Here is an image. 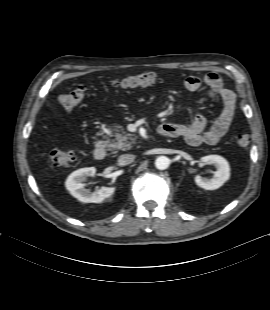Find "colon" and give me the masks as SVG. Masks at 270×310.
<instances>
[{"label": "colon", "instance_id": "1", "mask_svg": "<svg viewBox=\"0 0 270 310\" xmlns=\"http://www.w3.org/2000/svg\"><path fill=\"white\" fill-rule=\"evenodd\" d=\"M157 81V76L152 72L141 73L135 76L125 77L112 82L113 86L122 89H134L154 84ZM86 90L79 87L74 91L63 93L58 97L60 105L65 109H72L79 106L85 99ZM237 146L241 149H247L251 143V138L248 134H239L235 138ZM76 153L71 148H57L51 151L50 159L56 166H64L75 160Z\"/></svg>", "mask_w": 270, "mask_h": 310}]
</instances>
